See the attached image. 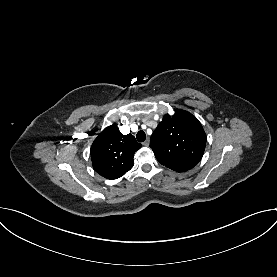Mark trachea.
Segmentation results:
<instances>
[{
	"label": "trachea",
	"mask_w": 277,
	"mask_h": 277,
	"mask_svg": "<svg viewBox=\"0 0 277 277\" xmlns=\"http://www.w3.org/2000/svg\"><path fill=\"white\" fill-rule=\"evenodd\" d=\"M136 138L138 140V142H144L145 139H146V134L144 131L140 130L137 135H136Z\"/></svg>",
	"instance_id": "3493384b"
}]
</instances>
